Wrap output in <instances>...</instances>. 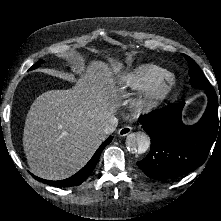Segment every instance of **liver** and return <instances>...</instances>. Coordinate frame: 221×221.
<instances>
[{"label":"liver","instance_id":"obj_1","mask_svg":"<svg viewBox=\"0 0 221 221\" xmlns=\"http://www.w3.org/2000/svg\"><path fill=\"white\" fill-rule=\"evenodd\" d=\"M115 64L94 61L76 86L50 90L33 102L27 113L23 147L31 172L43 179L61 180L79 171L105 135L102 130L116 109L112 76Z\"/></svg>","mask_w":221,"mask_h":221}]
</instances>
